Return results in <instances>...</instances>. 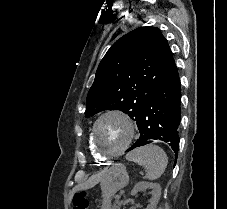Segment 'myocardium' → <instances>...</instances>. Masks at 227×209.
<instances>
[{
	"instance_id": "f54148a6",
	"label": "myocardium",
	"mask_w": 227,
	"mask_h": 209,
	"mask_svg": "<svg viewBox=\"0 0 227 209\" xmlns=\"http://www.w3.org/2000/svg\"><path fill=\"white\" fill-rule=\"evenodd\" d=\"M108 115H117V116L121 117L122 119H124L130 127V136H129L125 146L121 147L117 151L104 154L99 150V148L97 146L95 132H96V127H97L98 123L104 117H106ZM135 134H136V128H135V125H134L131 117L125 111L113 108V109H108L105 112H103L102 114H100L96 118V120L93 122L91 130H90V140H91L92 146H93L96 154L98 155V157L100 159L106 160V159H112V158H115V157L121 155L124 152V150L126 149V147L131 143Z\"/></svg>"
}]
</instances>
